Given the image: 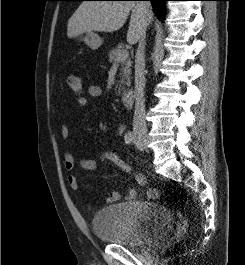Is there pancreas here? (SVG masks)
Listing matches in <instances>:
<instances>
[{
  "mask_svg": "<svg viewBox=\"0 0 245 265\" xmlns=\"http://www.w3.org/2000/svg\"><path fill=\"white\" fill-rule=\"evenodd\" d=\"M124 51V49L122 48H115L112 49L109 52V62L110 63H118L117 62V57L120 53H122ZM119 63H121V69H120V80L118 81V84L116 86V88H118V93L120 94L121 90H124V86L125 85H130V74H131V65L132 62L130 59H125L122 61H119Z\"/></svg>",
  "mask_w": 245,
  "mask_h": 265,
  "instance_id": "pancreas-1",
  "label": "pancreas"
}]
</instances>
